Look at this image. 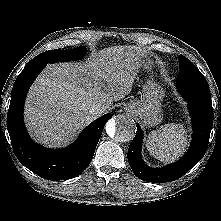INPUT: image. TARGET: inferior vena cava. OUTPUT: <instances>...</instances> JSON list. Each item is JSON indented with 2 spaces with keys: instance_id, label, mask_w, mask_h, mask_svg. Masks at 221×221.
<instances>
[{
  "instance_id": "1",
  "label": "inferior vena cava",
  "mask_w": 221,
  "mask_h": 221,
  "mask_svg": "<svg viewBox=\"0 0 221 221\" xmlns=\"http://www.w3.org/2000/svg\"><path fill=\"white\" fill-rule=\"evenodd\" d=\"M105 112V109L102 105L100 104H96V105H93L91 108H90V113L95 116V117H98L100 115H102L103 113Z\"/></svg>"
}]
</instances>
